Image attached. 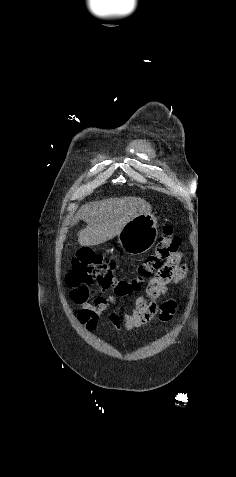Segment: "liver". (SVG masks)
<instances>
[{
    "mask_svg": "<svg viewBox=\"0 0 236 477\" xmlns=\"http://www.w3.org/2000/svg\"><path fill=\"white\" fill-rule=\"evenodd\" d=\"M150 212L151 205L141 198H110L81 206L71 225L85 221L87 226L79 231L78 242L82 246H94L118 235L136 216Z\"/></svg>",
    "mask_w": 236,
    "mask_h": 477,
    "instance_id": "obj_1",
    "label": "liver"
}]
</instances>
